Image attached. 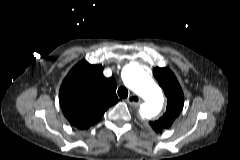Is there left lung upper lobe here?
I'll return each mask as SVG.
<instances>
[{
  "mask_svg": "<svg viewBox=\"0 0 240 160\" xmlns=\"http://www.w3.org/2000/svg\"><path fill=\"white\" fill-rule=\"evenodd\" d=\"M153 74L165 92L167 108L162 117L158 120L150 121L149 124L156 132H162L163 129L169 128L180 114L184 103V95L177 78L171 70L156 67L153 70Z\"/></svg>",
  "mask_w": 240,
  "mask_h": 160,
  "instance_id": "left-lung-upper-lobe-1",
  "label": "left lung upper lobe"
}]
</instances>
